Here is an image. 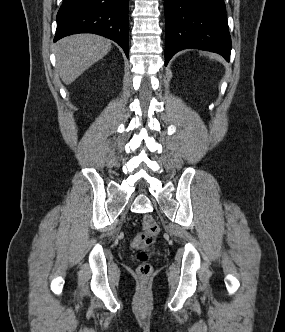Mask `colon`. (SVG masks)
I'll list each match as a JSON object with an SVG mask.
<instances>
[{
  "instance_id": "obj_1",
  "label": "colon",
  "mask_w": 285,
  "mask_h": 332,
  "mask_svg": "<svg viewBox=\"0 0 285 332\" xmlns=\"http://www.w3.org/2000/svg\"><path fill=\"white\" fill-rule=\"evenodd\" d=\"M143 231L133 239V247L137 250L136 259L139 262L137 274L141 279H147L152 273L150 253L155 248V238L159 234V226L151 215L142 218Z\"/></svg>"
}]
</instances>
